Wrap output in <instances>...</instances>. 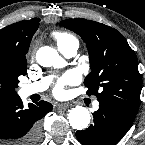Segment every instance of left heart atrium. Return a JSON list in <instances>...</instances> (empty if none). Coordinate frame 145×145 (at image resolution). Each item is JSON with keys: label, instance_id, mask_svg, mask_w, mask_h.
I'll return each mask as SVG.
<instances>
[{"label": "left heart atrium", "instance_id": "1", "mask_svg": "<svg viewBox=\"0 0 145 145\" xmlns=\"http://www.w3.org/2000/svg\"><path fill=\"white\" fill-rule=\"evenodd\" d=\"M78 80V76L74 72L67 73L62 77L54 87V94L56 96H62L64 94V86L67 84H73Z\"/></svg>", "mask_w": 145, "mask_h": 145}]
</instances>
